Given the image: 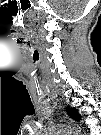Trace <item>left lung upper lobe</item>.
Segmentation results:
<instances>
[{
  "label": "left lung upper lobe",
  "mask_w": 101,
  "mask_h": 135,
  "mask_svg": "<svg viewBox=\"0 0 101 135\" xmlns=\"http://www.w3.org/2000/svg\"><path fill=\"white\" fill-rule=\"evenodd\" d=\"M67 112L69 113V115L74 119V120H80V115L78 113V111L76 109H71V108H68L67 109Z\"/></svg>",
  "instance_id": "5c2ea615"
}]
</instances>
